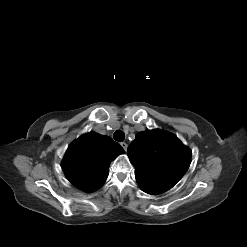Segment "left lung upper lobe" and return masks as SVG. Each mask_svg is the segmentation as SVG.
<instances>
[{
	"label": "left lung upper lobe",
	"instance_id": "5c2ea615",
	"mask_svg": "<svg viewBox=\"0 0 247 247\" xmlns=\"http://www.w3.org/2000/svg\"><path fill=\"white\" fill-rule=\"evenodd\" d=\"M140 188L152 195L172 188L186 173L191 151L173 134L155 129L140 132L128 147Z\"/></svg>",
	"mask_w": 247,
	"mask_h": 247
}]
</instances>
